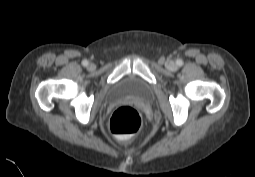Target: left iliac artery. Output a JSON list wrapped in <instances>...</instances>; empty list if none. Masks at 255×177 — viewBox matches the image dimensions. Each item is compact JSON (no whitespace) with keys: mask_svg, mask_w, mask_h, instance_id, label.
I'll return each mask as SVG.
<instances>
[{"mask_svg":"<svg viewBox=\"0 0 255 177\" xmlns=\"http://www.w3.org/2000/svg\"><path fill=\"white\" fill-rule=\"evenodd\" d=\"M177 64L181 66L183 64L182 60H177Z\"/></svg>","mask_w":255,"mask_h":177,"instance_id":"44dca946","label":"left iliac artery"}]
</instances>
